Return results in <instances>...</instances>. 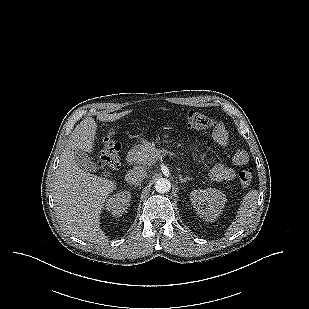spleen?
Masks as SVG:
<instances>
[{
	"label": "spleen",
	"instance_id": "obj_1",
	"mask_svg": "<svg viewBox=\"0 0 309 309\" xmlns=\"http://www.w3.org/2000/svg\"><path fill=\"white\" fill-rule=\"evenodd\" d=\"M258 200V191H249L242 199V203L237 211V215L228 228L227 235L238 232L242 227H244L251 219Z\"/></svg>",
	"mask_w": 309,
	"mask_h": 309
}]
</instances>
